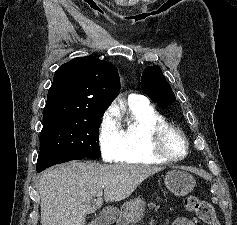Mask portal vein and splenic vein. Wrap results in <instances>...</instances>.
I'll list each match as a JSON object with an SVG mask.
<instances>
[{"label": "portal vein and splenic vein", "mask_w": 237, "mask_h": 225, "mask_svg": "<svg viewBox=\"0 0 237 225\" xmlns=\"http://www.w3.org/2000/svg\"><path fill=\"white\" fill-rule=\"evenodd\" d=\"M102 194H103V191L102 190H100L97 194H96V196L99 198V197H101L102 196Z\"/></svg>", "instance_id": "portal-vein-and-splenic-vein-1"}]
</instances>
